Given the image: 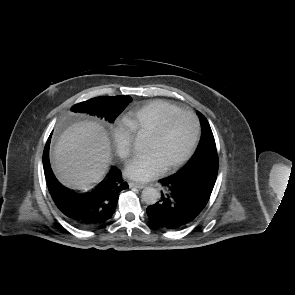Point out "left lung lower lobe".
<instances>
[{
	"instance_id": "0a47b994",
	"label": "left lung lower lobe",
	"mask_w": 295,
	"mask_h": 295,
	"mask_svg": "<svg viewBox=\"0 0 295 295\" xmlns=\"http://www.w3.org/2000/svg\"><path fill=\"white\" fill-rule=\"evenodd\" d=\"M218 165L205 161L182 173L161 179V200L147 208L150 221L160 228L179 229L206 206L213 190Z\"/></svg>"
}]
</instances>
